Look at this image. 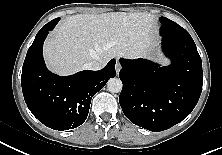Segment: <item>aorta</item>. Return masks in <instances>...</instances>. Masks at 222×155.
I'll use <instances>...</instances> for the list:
<instances>
[{"instance_id":"aorta-1","label":"aorta","mask_w":222,"mask_h":155,"mask_svg":"<svg viewBox=\"0 0 222 155\" xmlns=\"http://www.w3.org/2000/svg\"><path fill=\"white\" fill-rule=\"evenodd\" d=\"M123 84L119 78H111L107 82V88L111 93H118L122 90Z\"/></svg>"}]
</instances>
